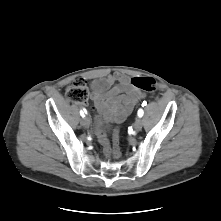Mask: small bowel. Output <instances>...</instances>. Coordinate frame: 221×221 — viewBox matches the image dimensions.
I'll list each match as a JSON object with an SVG mask.
<instances>
[{"label": "small bowel", "mask_w": 221, "mask_h": 221, "mask_svg": "<svg viewBox=\"0 0 221 221\" xmlns=\"http://www.w3.org/2000/svg\"><path fill=\"white\" fill-rule=\"evenodd\" d=\"M91 89L94 101L107 106L116 123L124 122L144 98V94L132 86L130 77L121 72L92 82Z\"/></svg>", "instance_id": "obj_1"}]
</instances>
